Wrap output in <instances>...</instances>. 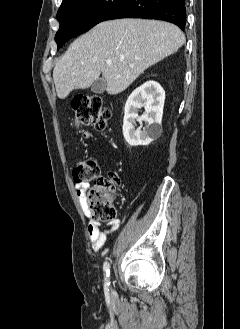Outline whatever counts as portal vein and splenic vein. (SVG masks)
I'll return each mask as SVG.
<instances>
[{
    "label": "portal vein and splenic vein",
    "mask_w": 240,
    "mask_h": 329,
    "mask_svg": "<svg viewBox=\"0 0 240 329\" xmlns=\"http://www.w3.org/2000/svg\"><path fill=\"white\" fill-rule=\"evenodd\" d=\"M106 63H107L108 65H110V64L112 63V61H111V60H107Z\"/></svg>",
    "instance_id": "obj_1"
}]
</instances>
